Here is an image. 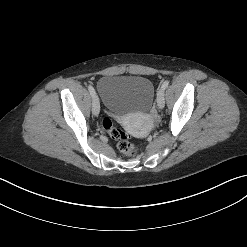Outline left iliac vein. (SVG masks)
Masks as SVG:
<instances>
[{
  "label": "left iliac vein",
  "instance_id": "obj_1",
  "mask_svg": "<svg viewBox=\"0 0 247 247\" xmlns=\"http://www.w3.org/2000/svg\"><path fill=\"white\" fill-rule=\"evenodd\" d=\"M157 105L159 109H163L165 105L164 90L161 88L157 93Z\"/></svg>",
  "mask_w": 247,
  "mask_h": 247
}]
</instances>
